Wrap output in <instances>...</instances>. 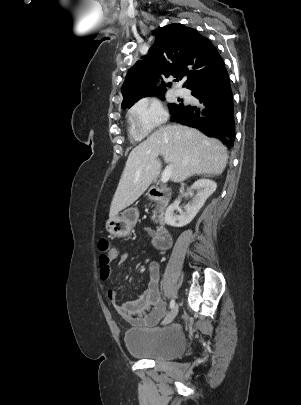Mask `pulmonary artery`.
Instances as JSON below:
<instances>
[{
	"label": "pulmonary artery",
	"instance_id": "pulmonary-artery-1",
	"mask_svg": "<svg viewBox=\"0 0 301 405\" xmlns=\"http://www.w3.org/2000/svg\"><path fill=\"white\" fill-rule=\"evenodd\" d=\"M176 93H177L178 95H185V94H186V90H184V89H178V90H176Z\"/></svg>",
	"mask_w": 301,
	"mask_h": 405
}]
</instances>
